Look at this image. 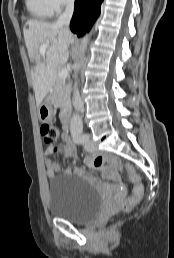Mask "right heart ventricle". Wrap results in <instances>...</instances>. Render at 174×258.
I'll return each instance as SVG.
<instances>
[{
	"mask_svg": "<svg viewBox=\"0 0 174 258\" xmlns=\"http://www.w3.org/2000/svg\"><path fill=\"white\" fill-rule=\"evenodd\" d=\"M28 12L39 19H46L52 16L53 11L47 0H25Z\"/></svg>",
	"mask_w": 174,
	"mask_h": 258,
	"instance_id": "right-heart-ventricle-1",
	"label": "right heart ventricle"
}]
</instances>
